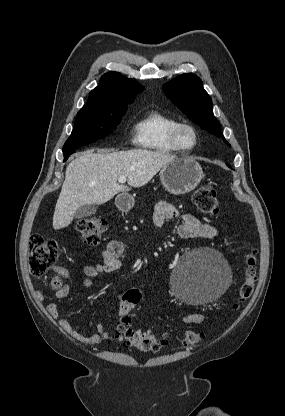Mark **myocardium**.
<instances>
[{"label":"myocardium","instance_id":"f54148a6","mask_svg":"<svg viewBox=\"0 0 285 416\" xmlns=\"http://www.w3.org/2000/svg\"><path fill=\"white\" fill-rule=\"evenodd\" d=\"M185 129L189 130L192 133L193 137H194V144L190 147L185 146L182 143V140H181V132ZM171 140H172V143L174 144V146L176 147V149L180 152H183V153H191V152L195 151L197 149V147L199 145V141H200L199 134H198V131L195 128V126H193L190 123H184V122H179L173 128V130L171 132Z\"/></svg>","mask_w":285,"mask_h":416}]
</instances>
